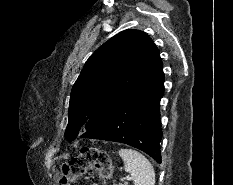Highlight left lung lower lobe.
<instances>
[{
  "label": "left lung lower lobe",
  "instance_id": "obj_1",
  "mask_svg": "<svg viewBox=\"0 0 233 185\" xmlns=\"http://www.w3.org/2000/svg\"><path fill=\"white\" fill-rule=\"evenodd\" d=\"M163 93L160 61L121 96L103 122L80 137L125 143L161 163L159 107Z\"/></svg>",
  "mask_w": 233,
  "mask_h": 185
}]
</instances>
